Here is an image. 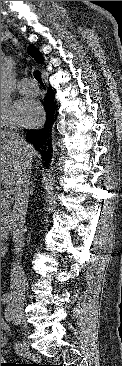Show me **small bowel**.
Wrapping results in <instances>:
<instances>
[{"label":"small bowel","mask_w":122,"mask_h":366,"mask_svg":"<svg viewBox=\"0 0 122 366\" xmlns=\"http://www.w3.org/2000/svg\"><path fill=\"white\" fill-rule=\"evenodd\" d=\"M1 325H2V326H5V323H3V322H2V323H1Z\"/></svg>","instance_id":"small-bowel-1"}]
</instances>
